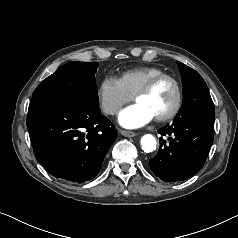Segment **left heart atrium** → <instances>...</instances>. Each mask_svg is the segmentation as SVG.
I'll use <instances>...</instances> for the list:
<instances>
[{
	"label": "left heart atrium",
	"instance_id": "1",
	"mask_svg": "<svg viewBox=\"0 0 238 238\" xmlns=\"http://www.w3.org/2000/svg\"><path fill=\"white\" fill-rule=\"evenodd\" d=\"M154 115L140 103H135L123 109L118 117L119 123L129 129L142 127L154 119Z\"/></svg>",
	"mask_w": 238,
	"mask_h": 238
}]
</instances>
